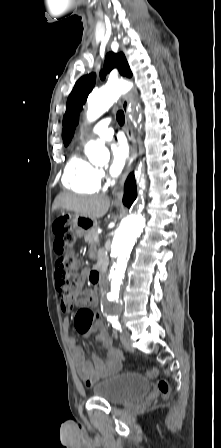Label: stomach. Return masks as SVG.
<instances>
[{
  "instance_id": "obj_1",
  "label": "stomach",
  "mask_w": 221,
  "mask_h": 448,
  "mask_svg": "<svg viewBox=\"0 0 221 448\" xmlns=\"http://www.w3.org/2000/svg\"><path fill=\"white\" fill-rule=\"evenodd\" d=\"M70 219L71 224L78 237L85 236L90 230L94 229L97 225V223L94 220L88 217H84L77 213H75L74 215H70Z\"/></svg>"
}]
</instances>
